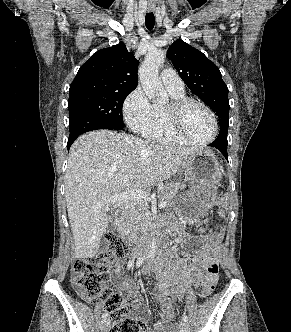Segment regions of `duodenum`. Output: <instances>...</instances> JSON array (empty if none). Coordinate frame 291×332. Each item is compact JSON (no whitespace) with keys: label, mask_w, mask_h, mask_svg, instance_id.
<instances>
[{"label":"duodenum","mask_w":291,"mask_h":332,"mask_svg":"<svg viewBox=\"0 0 291 332\" xmlns=\"http://www.w3.org/2000/svg\"><path fill=\"white\" fill-rule=\"evenodd\" d=\"M152 229H159L163 226L162 222L159 220H154L150 223ZM130 243H137L138 249L136 254L139 256H150L151 251L149 245L145 241H138L136 236L129 237ZM163 245V241L159 242V246Z\"/></svg>","instance_id":"duodenum-1"}]
</instances>
